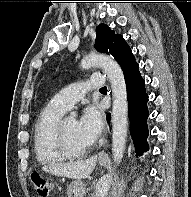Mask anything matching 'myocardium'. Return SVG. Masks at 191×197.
<instances>
[{
	"label": "myocardium",
	"mask_w": 191,
	"mask_h": 197,
	"mask_svg": "<svg viewBox=\"0 0 191 197\" xmlns=\"http://www.w3.org/2000/svg\"><path fill=\"white\" fill-rule=\"evenodd\" d=\"M55 141L60 152L69 159L81 158L89 151L90 146H87L81 150H73L67 141L65 131V119L60 120L55 130Z\"/></svg>",
	"instance_id": "1"
}]
</instances>
